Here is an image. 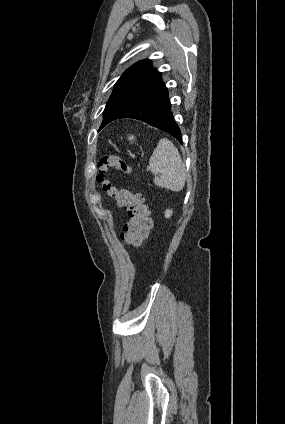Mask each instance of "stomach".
<instances>
[{
    "mask_svg": "<svg viewBox=\"0 0 285 424\" xmlns=\"http://www.w3.org/2000/svg\"><path fill=\"white\" fill-rule=\"evenodd\" d=\"M128 140H129L131 143H133V141H134L135 139H134V137L131 135V136H129V137H128Z\"/></svg>",
    "mask_w": 285,
    "mask_h": 424,
    "instance_id": "1",
    "label": "stomach"
}]
</instances>
